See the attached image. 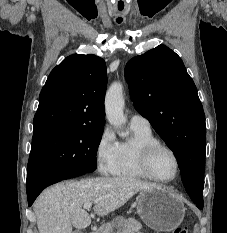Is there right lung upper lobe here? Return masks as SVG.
<instances>
[{"mask_svg": "<svg viewBox=\"0 0 227 233\" xmlns=\"http://www.w3.org/2000/svg\"><path fill=\"white\" fill-rule=\"evenodd\" d=\"M106 83L102 58L92 54L66 57L42 88L33 133L63 126H103Z\"/></svg>", "mask_w": 227, "mask_h": 233, "instance_id": "cb5924a9", "label": "right lung upper lobe"}]
</instances>
